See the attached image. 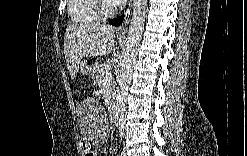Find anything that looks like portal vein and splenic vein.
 Returning a JSON list of instances; mask_svg holds the SVG:
<instances>
[{
    "mask_svg": "<svg viewBox=\"0 0 247 156\" xmlns=\"http://www.w3.org/2000/svg\"><path fill=\"white\" fill-rule=\"evenodd\" d=\"M112 77L111 71L106 72L105 74V81H108Z\"/></svg>",
    "mask_w": 247,
    "mask_h": 156,
    "instance_id": "18ae733b",
    "label": "portal vein and splenic vein"
}]
</instances>
